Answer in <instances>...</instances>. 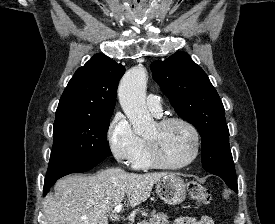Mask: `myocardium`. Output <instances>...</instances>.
<instances>
[{
    "label": "myocardium",
    "instance_id": "1",
    "mask_svg": "<svg viewBox=\"0 0 275 224\" xmlns=\"http://www.w3.org/2000/svg\"><path fill=\"white\" fill-rule=\"evenodd\" d=\"M178 122L185 125L192 133L193 141H194V150L192 156L185 162L180 164H171L166 162L162 156L160 155L156 145L152 143L147 138L144 139L146 151L148 155V159L151 164L155 167L162 168V169H169V170H177L183 169L190 166L195 160L198 158L200 153V134L195 125L181 116H164L159 118L156 121L158 127L162 128L167 126L170 123Z\"/></svg>",
    "mask_w": 275,
    "mask_h": 224
}]
</instances>
